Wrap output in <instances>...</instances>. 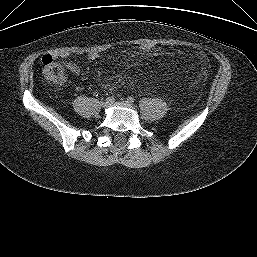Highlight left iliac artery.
Wrapping results in <instances>:
<instances>
[{
	"instance_id": "1",
	"label": "left iliac artery",
	"mask_w": 257,
	"mask_h": 257,
	"mask_svg": "<svg viewBox=\"0 0 257 257\" xmlns=\"http://www.w3.org/2000/svg\"><path fill=\"white\" fill-rule=\"evenodd\" d=\"M127 101H128L129 103H134L135 99H134L133 97L129 96V97L127 98Z\"/></svg>"
}]
</instances>
